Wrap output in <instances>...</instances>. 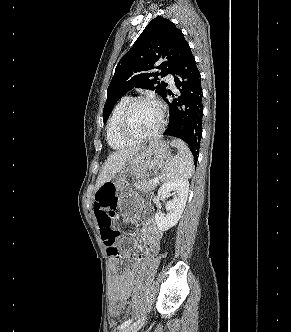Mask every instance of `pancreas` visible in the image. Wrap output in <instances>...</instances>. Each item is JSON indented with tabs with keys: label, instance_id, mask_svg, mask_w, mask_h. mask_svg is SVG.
Segmentation results:
<instances>
[{
	"label": "pancreas",
	"instance_id": "1",
	"mask_svg": "<svg viewBox=\"0 0 291 332\" xmlns=\"http://www.w3.org/2000/svg\"><path fill=\"white\" fill-rule=\"evenodd\" d=\"M153 179L138 181L134 184L135 188L142 192H151L156 188V184L152 183Z\"/></svg>",
	"mask_w": 291,
	"mask_h": 332
}]
</instances>
